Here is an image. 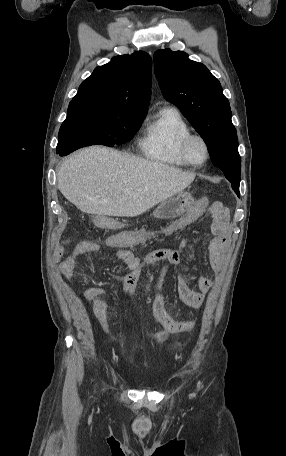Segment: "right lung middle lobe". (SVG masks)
Segmentation results:
<instances>
[{
	"mask_svg": "<svg viewBox=\"0 0 286 456\" xmlns=\"http://www.w3.org/2000/svg\"><path fill=\"white\" fill-rule=\"evenodd\" d=\"M146 114L103 104L70 102L59 131L57 153L64 156L84 146L127 143L140 129Z\"/></svg>",
	"mask_w": 286,
	"mask_h": 456,
	"instance_id": "dd1d6c3e",
	"label": "right lung middle lobe"
}]
</instances>
